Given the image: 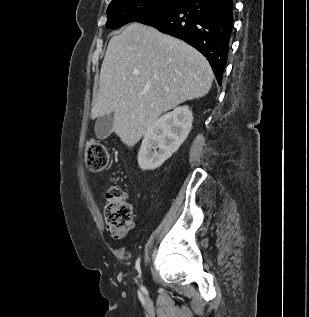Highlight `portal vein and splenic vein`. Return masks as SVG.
Masks as SVG:
<instances>
[{
  "label": "portal vein and splenic vein",
  "mask_w": 309,
  "mask_h": 317,
  "mask_svg": "<svg viewBox=\"0 0 309 317\" xmlns=\"http://www.w3.org/2000/svg\"><path fill=\"white\" fill-rule=\"evenodd\" d=\"M133 74H134V75H138L139 72H138V71H134Z\"/></svg>",
  "instance_id": "portal-vein-and-splenic-vein-1"
}]
</instances>
